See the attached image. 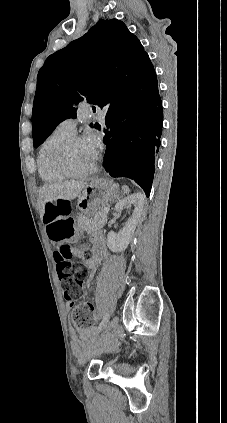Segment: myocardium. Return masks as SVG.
<instances>
[{
  "label": "myocardium",
  "mask_w": 227,
  "mask_h": 423,
  "mask_svg": "<svg viewBox=\"0 0 227 423\" xmlns=\"http://www.w3.org/2000/svg\"><path fill=\"white\" fill-rule=\"evenodd\" d=\"M83 142L86 143L84 137L73 135L72 137L62 142L55 151V165L60 170V172L67 178H84L94 173L97 169L96 162L89 169L83 172H75L71 169L68 160L69 151L75 144Z\"/></svg>",
  "instance_id": "1"
}]
</instances>
